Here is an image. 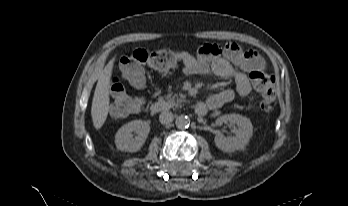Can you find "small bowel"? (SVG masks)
<instances>
[{"instance_id": "c3829d8e", "label": "small bowel", "mask_w": 348, "mask_h": 206, "mask_svg": "<svg viewBox=\"0 0 348 206\" xmlns=\"http://www.w3.org/2000/svg\"><path fill=\"white\" fill-rule=\"evenodd\" d=\"M182 62L185 74L203 75L211 71L220 78L234 81L235 89L223 90L209 98L212 110L246 98L251 92V84L245 72L265 68L263 58L256 51L245 49L236 42H229L223 48L201 45L196 54L183 52Z\"/></svg>"}]
</instances>
